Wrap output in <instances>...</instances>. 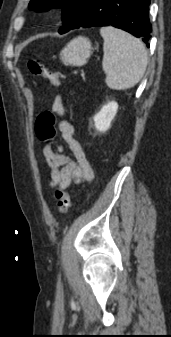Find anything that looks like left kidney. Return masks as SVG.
<instances>
[{"label":"left kidney","mask_w":171,"mask_h":337,"mask_svg":"<svg viewBox=\"0 0 171 337\" xmlns=\"http://www.w3.org/2000/svg\"><path fill=\"white\" fill-rule=\"evenodd\" d=\"M118 110V104L111 101L104 105L101 110L94 116V125L99 132H106L114 119Z\"/></svg>","instance_id":"obj_1"}]
</instances>
